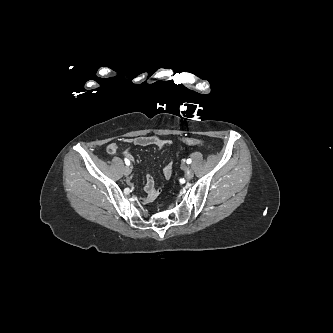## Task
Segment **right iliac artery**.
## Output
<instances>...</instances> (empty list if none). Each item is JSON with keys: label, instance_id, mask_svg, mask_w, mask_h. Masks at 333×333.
<instances>
[{"label": "right iliac artery", "instance_id": "82829eb1", "mask_svg": "<svg viewBox=\"0 0 333 333\" xmlns=\"http://www.w3.org/2000/svg\"><path fill=\"white\" fill-rule=\"evenodd\" d=\"M124 161H125V164H126L127 166L130 165V161H129L127 158H125Z\"/></svg>", "mask_w": 333, "mask_h": 333}]
</instances>
